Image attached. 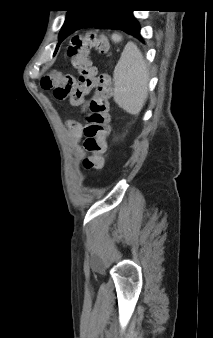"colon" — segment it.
I'll list each match as a JSON object with an SVG mask.
<instances>
[{
  "label": "colon",
  "instance_id": "5ec220e1",
  "mask_svg": "<svg viewBox=\"0 0 213 338\" xmlns=\"http://www.w3.org/2000/svg\"><path fill=\"white\" fill-rule=\"evenodd\" d=\"M92 49L101 54H108L110 45L107 37L95 33L73 37L67 47V55L73 69L78 72V79L70 74L52 72L42 80V87L53 89L58 100L68 97L73 106H79L84 95L93 92L83 128L84 145L89 153L83 161V166L88 170H99L105 165L104 153L111 132L109 99L112 89L108 75H97V70L90 60Z\"/></svg>",
  "mask_w": 213,
  "mask_h": 338
}]
</instances>
